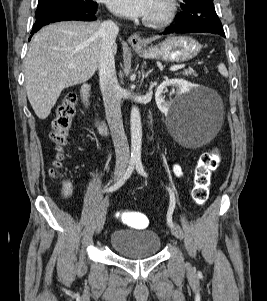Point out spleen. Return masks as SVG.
I'll list each match as a JSON object with an SVG mask.
<instances>
[{
    "mask_svg": "<svg viewBox=\"0 0 267 301\" xmlns=\"http://www.w3.org/2000/svg\"><path fill=\"white\" fill-rule=\"evenodd\" d=\"M218 71L220 72V74L224 77L228 76V71L227 68L225 67V65L223 63H220L218 65Z\"/></svg>",
    "mask_w": 267,
    "mask_h": 301,
    "instance_id": "1",
    "label": "spleen"
}]
</instances>
